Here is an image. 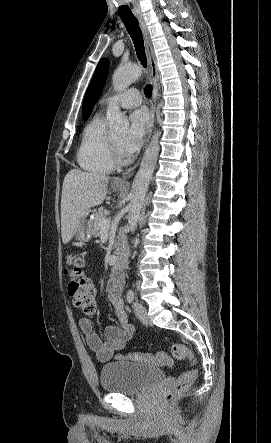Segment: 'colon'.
Instances as JSON below:
<instances>
[{"instance_id": "1", "label": "colon", "mask_w": 271, "mask_h": 443, "mask_svg": "<svg viewBox=\"0 0 271 443\" xmlns=\"http://www.w3.org/2000/svg\"><path fill=\"white\" fill-rule=\"evenodd\" d=\"M66 265V273L70 277L68 293L73 300V304L86 313H94L96 308L95 288L89 279L83 277L84 256L71 254L66 257ZM171 350L175 359L190 361L192 368L183 372L165 391L164 400L166 403H172L182 395L197 376L195 367L197 360L194 352L182 343L173 344ZM116 358L159 366H170L172 364L170 356L163 351L155 354L133 352L117 355Z\"/></svg>"}]
</instances>
